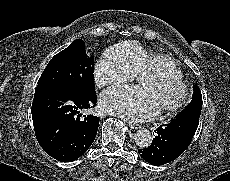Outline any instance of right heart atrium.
I'll use <instances>...</instances> for the list:
<instances>
[{
    "instance_id": "right-heart-atrium-1",
    "label": "right heart atrium",
    "mask_w": 230,
    "mask_h": 181,
    "mask_svg": "<svg viewBox=\"0 0 230 181\" xmlns=\"http://www.w3.org/2000/svg\"><path fill=\"white\" fill-rule=\"evenodd\" d=\"M95 81L100 87L118 86L127 78V73L112 62L109 57L95 67Z\"/></svg>"
}]
</instances>
